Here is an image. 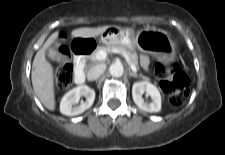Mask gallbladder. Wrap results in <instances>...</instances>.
I'll return each mask as SVG.
<instances>
[{
    "instance_id": "gallbladder-1",
    "label": "gallbladder",
    "mask_w": 225,
    "mask_h": 155,
    "mask_svg": "<svg viewBox=\"0 0 225 155\" xmlns=\"http://www.w3.org/2000/svg\"><path fill=\"white\" fill-rule=\"evenodd\" d=\"M47 53H48V57L54 61H60L63 58L62 54L53 47L48 48Z\"/></svg>"
}]
</instances>
